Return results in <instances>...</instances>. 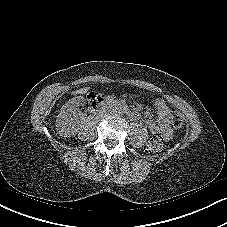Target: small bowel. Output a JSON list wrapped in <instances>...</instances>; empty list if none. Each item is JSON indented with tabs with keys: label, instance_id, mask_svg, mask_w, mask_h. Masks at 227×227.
<instances>
[{
	"label": "small bowel",
	"instance_id": "c3829d8e",
	"mask_svg": "<svg viewBox=\"0 0 227 227\" xmlns=\"http://www.w3.org/2000/svg\"><path fill=\"white\" fill-rule=\"evenodd\" d=\"M153 104L157 110L158 119L154 120L150 113L146 111L142 115L144 121L151 133L160 134L165 140H170L173 136V131L170 126L172 111L162 98H154ZM138 115V118L135 120L141 118V114L139 112Z\"/></svg>",
	"mask_w": 227,
	"mask_h": 227
}]
</instances>
